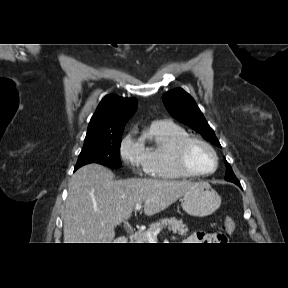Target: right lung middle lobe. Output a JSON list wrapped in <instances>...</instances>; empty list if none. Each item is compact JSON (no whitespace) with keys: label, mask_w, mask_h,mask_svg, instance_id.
<instances>
[{"label":"right lung middle lobe","mask_w":288,"mask_h":288,"mask_svg":"<svg viewBox=\"0 0 288 288\" xmlns=\"http://www.w3.org/2000/svg\"><path fill=\"white\" fill-rule=\"evenodd\" d=\"M122 132L86 140L78 157L75 170L89 163H99L109 167H121L120 143Z\"/></svg>","instance_id":"1"}]
</instances>
